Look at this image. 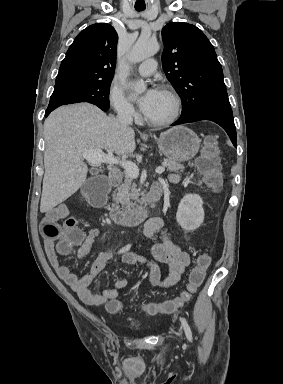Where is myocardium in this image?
<instances>
[{"mask_svg":"<svg viewBox=\"0 0 283 384\" xmlns=\"http://www.w3.org/2000/svg\"><path fill=\"white\" fill-rule=\"evenodd\" d=\"M161 90L169 97L172 103V111L167 118L161 120H149L143 116L144 122L153 127H164L174 123L178 119L181 111V100L178 94L168 86L161 87Z\"/></svg>","mask_w":283,"mask_h":384,"instance_id":"1","label":"myocardium"}]
</instances>
